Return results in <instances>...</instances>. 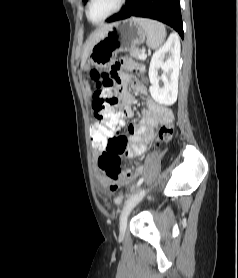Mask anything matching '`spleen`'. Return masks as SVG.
<instances>
[{"mask_svg": "<svg viewBox=\"0 0 238 278\" xmlns=\"http://www.w3.org/2000/svg\"><path fill=\"white\" fill-rule=\"evenodd\" d=\"M138 23L144 28L147 36V44L152 49H157L166 37L165 26L157 21L137 18Z\"/></svg>", "mask_w": 238, "mask_h": 278, "instance_id": "spleen-1", "label": "spleen"}]
</instances>
